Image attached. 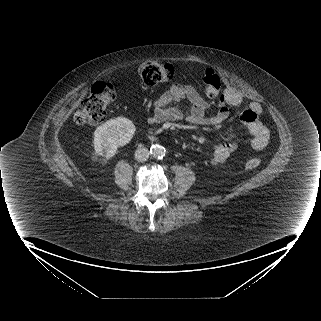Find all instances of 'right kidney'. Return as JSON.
Segmentation results:
<instances>
[{
  "label": "right kidney",
  "instance_id": "obj_1",
  "mask_svg": "<svg viewBox=\"0 0 321 321\" xmlns=\"http://www.w3.org/2000/svg\"><path fill=\"white\" fill-rule=\"evenodd\" d=\"M135 131V125L128 118L117 117L106 121L94 131L95 152L106 158L114 156L118 146L128 144Z\"/></svg>",
  "mask_w": 321,
  "mask_h": 321
}]
</instances>
